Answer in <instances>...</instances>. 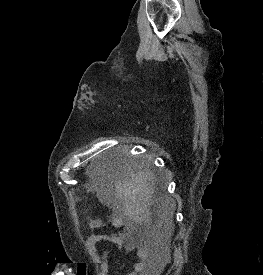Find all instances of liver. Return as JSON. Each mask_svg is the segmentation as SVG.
Returning <instances> with one entry per match:
<instances>
[{
  "label": "liver",
  "instance_id": "1",
  "mask_svg": "<svg viewBox=\"0 0 263 275\" xmlns=\"http://www.w3.org/2000/svg\"><path fill=\"white\" fill-rule=\"evenodd\" d=\"M155 183L156 177L149 169L136 173L128 171L125 178H115V188L110 195L107 196L102 190L98 191L124 219L150 225L154 207L159 210L161 221L171 228L175 205L169 200L163 201L155 197Z\"/></svg>",
  "mask_w": 263,
  "mask_h": 275
}]
</instances>
